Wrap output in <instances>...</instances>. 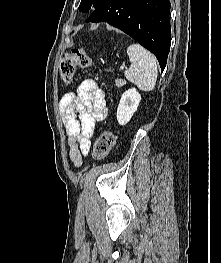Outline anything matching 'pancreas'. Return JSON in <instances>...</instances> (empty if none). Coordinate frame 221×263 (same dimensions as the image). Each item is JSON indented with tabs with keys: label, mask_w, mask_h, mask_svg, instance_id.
Returning a JSON list of instances; mask_svg holds the SVG:
<instances>
[{
	"label": "pancreas",
	"mask_w": 221,
	"mask_h": 263,
	"mask_svg": "<svg viewBox=\"0 0 221 263\" xmlns=\"http://www.w3.org/2000/svg\"><path fill=\"white\" fill-rule=\"evenodd\" d=\"M115 84L117 87H122L126 84V81L124 79H116Z\"/></svg>",
	"instance_id": "pancreas-1"
}]
</instances>
